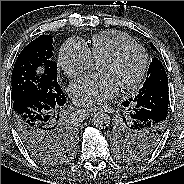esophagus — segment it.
Returning <instances> with one entry per match:
<instances>
[{"label":"esophagus","mask_w":184,"mask_h":184,"mask_svg":"<svg viewBox=\"0 0 184 184\" xmlns=\"http://www.w3.org/2000/svg\"><path fill=\"white\" fill-rule=\"evenodd\" d=\"M101 110H83L85 113L100 112Z\"/></svg>","instance_id":"34e87169"}]
</instances>
